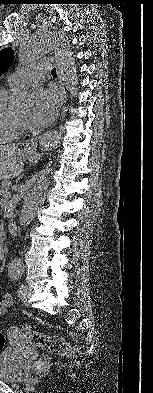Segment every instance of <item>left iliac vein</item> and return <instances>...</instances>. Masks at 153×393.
<instances>
[{
  "mask_svg": "<svg viewBox=\"0 0 153 393\" xmlns=\"http://www.w3.org/2000/svg\"><path fill=\"white\" fill-rule=\"evenodd\" d=\"M30 295H31V288L29 286H25L22 295L20 296L22 299V302L25 306H29L30 305Z\"/></svg>",
  "mask_w": 153,
  "mask_h": 393,
  "instance_id": "left-iliac-vein-1",
  "label": "left iliac vein"
}]
</instances>
